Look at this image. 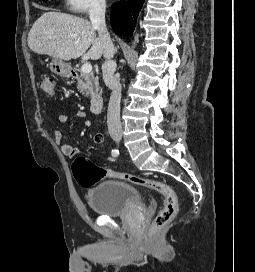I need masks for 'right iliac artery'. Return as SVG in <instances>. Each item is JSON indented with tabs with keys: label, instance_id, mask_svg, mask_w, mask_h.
Here are the masks:
<instances>
[{
	"label": "right iliac artery",
	"instance_id": "1",
	"mask_svg": "<svg viewBox=\"0 0 255 272\" xmlns=\"http://www.w3.org/2000/svg\"><path fill=\"white\" fill-rule=\"evenodd\" d=\"M111 154H112L113 157H117L119 155V150L112 149Z\"/></svg>",
	"mask_w": 255,
	"mask_h": 272
}]
</instances>
